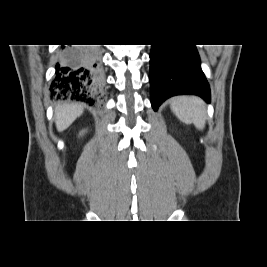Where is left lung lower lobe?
<instances>
[{"instance_id": "0a47b994", "label": "left lung lower lobe", "mask_w": 267, "mask_h": 267, "mask_svg": "<svg viewBox=\"0 0 267 267\" xmlns=\"http://www.w3.org/2000/svg\"><path fill=\"white\" fill-rule=\"evenodd\" d=\"M149 79L155 111L175 95H197L210 102L209 84L195 45H152Z\"/></svg>"}]
</instances>
